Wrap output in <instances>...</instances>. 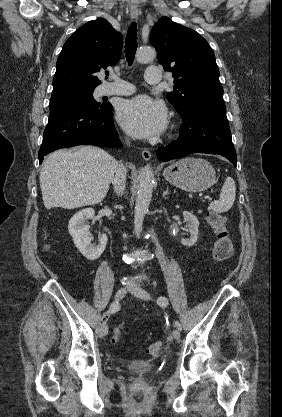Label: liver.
<instances>
[{"mask_svg":"<svg viewBox=\"0 0 282 417\" xmlns=\"http://www.w3.org/2000/svg\"><path fill=\"white\" fill-rule=\"evenodd\" d=\"M118 162L98 146H79L75 152L55 150L40 172V186L46 209L98 204L106 196Z\"/></svg>","mask_w":282,"mask_h":417,"instance_id":"liver-1","label":"liver"}]
</instances>
